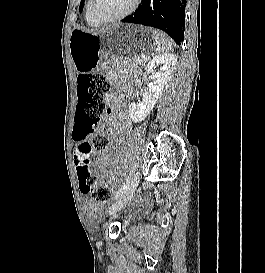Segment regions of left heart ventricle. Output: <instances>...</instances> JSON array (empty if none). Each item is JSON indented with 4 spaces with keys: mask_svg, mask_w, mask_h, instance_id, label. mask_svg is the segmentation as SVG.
Masks as SVG:
<instances>
[{
    "mask_svg": "<svg viewBox=\"0 0 265 273\" xmlns=\"http://www.w3.org/2000/svg\"><path fill=\"white\" fill-rule=\"evenodd\" d=\"M134 0H96L95 13L102 18L117 16L128 10Z\"/></svg>",
    "mask_w": 265,
    "mask_h": 273,
    "instance_id": "obj_1",
    "label": "left heart ventricle"
}]
</instances>
